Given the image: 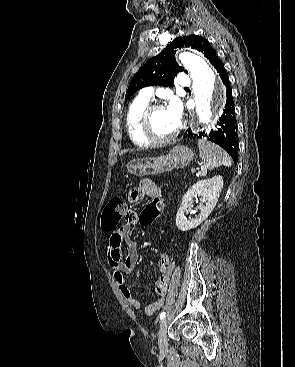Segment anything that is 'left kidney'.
Listing matches in <instances>:
<instances>
[{
  "mask_svg": "<svg viewBox=\"0 0 295 367\" xmlns=\"http://www.w3.org/2000/svg\"><path fill=\"white\" fill-rule=\"evenodd\" d=\"M222 188V176L198 181L190 187L183 196L181 206L176 214V225L178 229L188 231L196 228L206 220L216 206ZM198 198L200 200L198 205L200 213L194 219H187L185 214L188 213V208L192 205L194 199Z\"/></svg>",
  "mask_w": 295,
  "mask_h": 367,
  "instance_id": "obj_1",
  "label": "left kidney"
}]
</instances>
